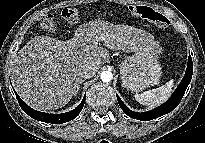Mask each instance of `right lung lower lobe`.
Returning <instances> with one entry per match:
<instances>
[{"instance_id": "98d812e1", "label": "right lung lower lobe", "mask_w": 205, "mask_h": 143, "mask_svg": "<svg viewBox=\"0 0 205 143\" xmlns=\"http://www.w3.org/2000/svg\"><path fill=\"white\" fill-rule=\"evenodd\" d=\"M15 95L17 97L19 105L21 106V108L26 114H28L30 117H32L35 120L46 122V123H52V124H60V123L62 124V123L71 121L72 119L78 116V114L81 112L84 106V103H85V96H84L80 105L74 110L67 112V113H62V114H49V113L36 111L30 108L25 102H23L19 98L16 92H15Z\"/></svg>"}]
</instances>
